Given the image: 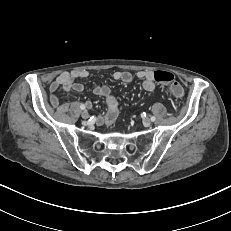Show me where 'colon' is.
Instances as JSON below:
<instances>
[{
  "label": "colon",
  "mask_w": 231,
  "mask_h": 231,
  "mask_svg": "<svg viewBox=\"0 0 231 231\" xmlns=\"http://www.w3.org/2000/svg\"><path fill=\"white\" fill-rule=\"evenodd\" d=\"M153 79L160 84H169L171 93L176 97L183 95L182 86L174 81V75L169 71L158 70L153 72Z\"/></svg>",
  "instance_id": "5ec220e1"
}]
</instances>
